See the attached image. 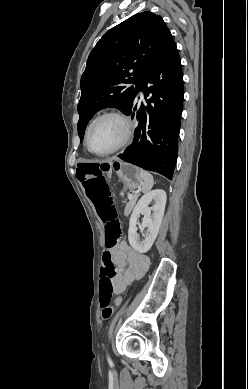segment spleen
I'll return each mask as SVG.
<instances>
[{"mask_svg":"<svg viewBox=\"0 0 248 389\" xmlns=\"http://www.w3.org/2000/svg\"><path fill=\"white\" fill-rule=\"evenodd\" d=\"M139 174H140V177L142 180L141 181L142 192L147 193L152 189V187L154 185L153 176L149 172L144 171V170H140Z\"/></svg>","mask_w":248,"mask_h":389,"instance_id":"1","label":"spleen"}]
</instances>
